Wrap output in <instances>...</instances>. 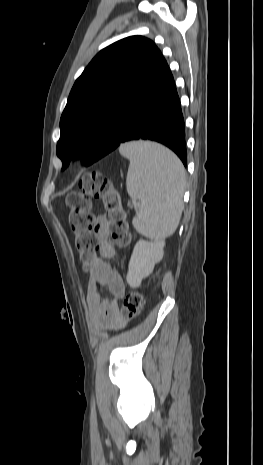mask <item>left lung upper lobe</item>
Listing matches in <instances>:
<instances>
[{
  "mask_svg": "<svg viewBox=\"0 0 263 465\" xmlns=\"http://www.w3.org/2000/svg\"><path fill=\"white\" fill-rule=\"evenodd\" d=\"M160 50L149 39L130 36L100 51L76 80L60 119L57 156L92 161L108 140L122 106L137 88Z\"/></svg>",
  "mask_w": 263,
  "mask_h": 465,
  "instance_id": "obj_1",
  "label": "left lung upper lobe"
}]
</instances>
